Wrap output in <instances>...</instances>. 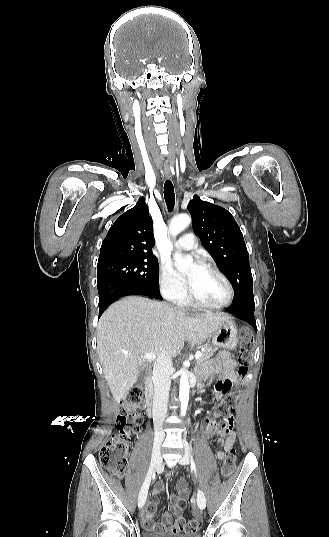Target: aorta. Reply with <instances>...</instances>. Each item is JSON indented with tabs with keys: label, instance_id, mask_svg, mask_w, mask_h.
I'll list each match as a JSON object with an SVG mask.
<instances>
[{
	"label": "aorta",
	"instance_id": "aorta-1",
	"mask_svg": "<svg viewBox=\"0 0 329 537\" xmlns=\"http://www.w3.org/2000/svg\"><path fill=\"white\" fill-rule=\"evenodd\" d=\"M191 218L187 214H180L174 217L170 223L169 229L172 236H177L182 230L189 226ZM193 259L187 257L184 261H179V268L186 269L188 265L192 264ZM189 362H184V367L180 371V385H179V400L181 406V416H185L188 401H189V375L186 366Z\"/></svg>",
	"mask_w": 329,
	"mask_h": 537
}]
</instances>
